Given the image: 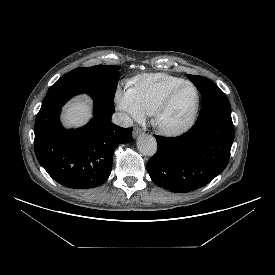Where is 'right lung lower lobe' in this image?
Here are the masks:
<instances>
[{"label": "right lung lower lobe", "instance_id": "right-lung-lower-lobe-1", "mask_svg": "<svg viewBox=\"0 0 275 275\" xmlns=\"http://www.w3.org/2000/svg\"><path fill=\"white\" fill-rule=\"evenodd\" d=\"M82 92L46 96L37 114L34 133L35 154L47 173L58 183L75 189L103 184L112 170L113 153L119 144L132 141V129L112 122L113 103L98 94L94 117L83 128L65 130L59 121L61 107Z\"/></svg>", "mask_w": 275, "mask_h": 275}]
</instances>
